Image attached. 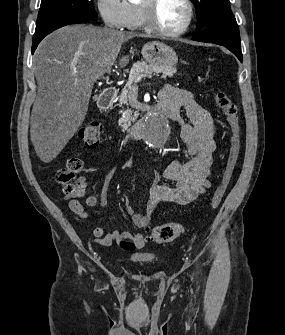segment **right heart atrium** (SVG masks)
<instances>
[{"label":"right heart atrium","instance_id":"d8ad5b80","mask_svg":"<svg viewBox=\"0 0 285 335\" xmlns=\"http://www.w3.org/2000/svg\"><path fill=\"white\" fill-rule=\"evenodd\" d=\"M99 9L104 24L114 30L126 27L133 16L127 1H100Z\"/></svg>","mask_w":285,"mask_h":335}]
</instances>
